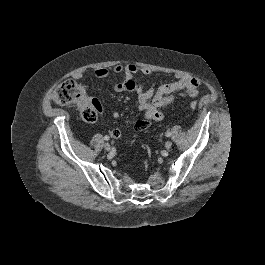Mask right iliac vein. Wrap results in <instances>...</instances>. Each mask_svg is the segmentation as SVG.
I'll use <instances>...</instances> for the list:
<instances>
[{
    "mask_svg": "<svg viewBox=\"0 0 265 265\" xmlns=\"http://www.w3.org/2000/svg\"><path fill=\"white\" fill-rule=\"evenodd\" d=\"M104 149H105L106 151H110V149H111L110 144H109V143H105V144H104Z\"/></svg>",
    "mask_w": 265,
    "mask_h": 265,
    "instance_id": "right-iliac-vein-1",
    "label": "right iliac vein"
}]
</instances>
